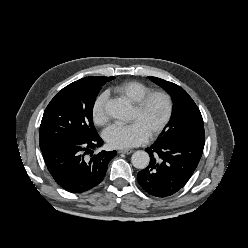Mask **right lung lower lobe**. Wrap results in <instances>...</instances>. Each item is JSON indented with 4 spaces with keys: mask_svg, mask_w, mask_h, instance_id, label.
I'll return each instance as SVG.
<instances>
[{
    "mask_svg": "<svg viewBox=\"0 0 248 248\" xmlns=\"http://www.w3.org/2000/svg\"><path fill=\"white\" fill-rule=\"evenodd\" d=\"M103 140L98 134L91 137L70 136L41 149L46 166L54 180L65 190L81 193L97 186L104 178L109 161L116 151H102L93 157V149Z\"/></svg>",
    "mask_w": 248,
    "mask_h": 248,
    "instance_id": "right-lung-lower-lobe-1",
    "label": "right lung lower lobe"
}]
</instances>
